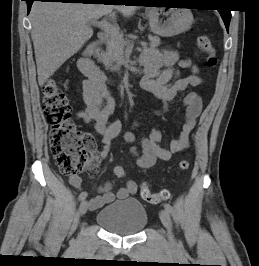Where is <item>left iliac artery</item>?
<instances>
[{
  "label": "left iliac artery",
  "instance_id": "left-iliac-artery-1",
  "mask_svg": "<svg viewBox=\"0 0 259 266\" xmlns=\"http://www.w3.org/2000/svg\"><path fill=\"white\" fill-rule=\"evenodd\" d=\"M164 208L168 214H170L172 216L174 215V210L170 204L165 203Z\"/></svg>",
  "mask_w": 259,
  "mask_h": 266
}]
</instances>
